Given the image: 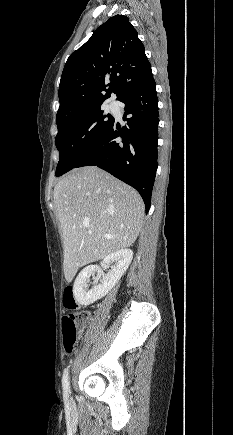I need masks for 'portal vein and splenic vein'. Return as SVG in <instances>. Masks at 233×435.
<instances>
[{"label":"portal vein and splenic vein","mask_w":233,"mask_h":435,"mask_svg":"<svg viewBox=\"0 0 233 435\" xmlns=\"http://www.w3.org/2000/svg\"><path fill=\"white\" fill-rule=\"evenodd\" d=\"M83 226H84V227H88V226H89V221H85V222H83ZM104 236H105L106 238H112V236L109 235V234H105Z\"/></svg>","instance_id":"18ae733b"}]
</instances>
